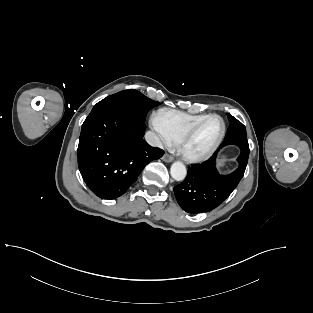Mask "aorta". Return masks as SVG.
Here are the masks:
<instances>
[{"instance_id": "obj_1", "label": "aorta", "mask_w": 313, "mask_h": 313, "mask_svg": "<svg viewBox=\"0 0 313 313\" xmlns=\"http://www.w3.org/2000/svg\"><path fill=\"white\" fill-rule=\"evenodd\" d=\"M171 176L176 181H182L185 179L187 170L182 162H174L170 169Z\"/></svg>"}]
</instances>
